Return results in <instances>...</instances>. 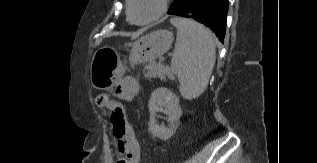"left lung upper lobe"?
<instances>
[{
    "label": "left lung upper lobe",
    "mask_w": 317,
    "mask_h": 163,
    "mask_svg": "<svg viewBox=\"0 0 317 163\" xmlns=\"http://www.w3.org/2000/svg\"><path fill=\"white\" fill-rule=\"evenodd\" d=\"M180 0H174V2L171 4L169 11H173L179 4Z\"/></svg>",
    "instance_id": "obj_1"
}]
</instances>
